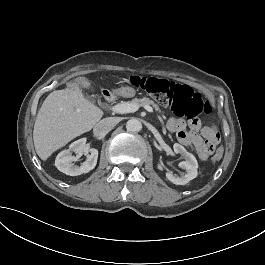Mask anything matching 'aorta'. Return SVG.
<instances>
[{
    "mask_svg": "<svg viewBox=\"0 0 265 265\" xmlns=\"http://www.w3.org/2000/svg\"><path fill=\"white\" fill-rule=\"evenodd\" d=\"M126 129L130 132H138L142 129V124L137 118H132L127 121Z\"/></svg>",
    "mask_w": 265,
    "mask_h": 265,
    "instance_id": "762f6f07",
    "label": "aorta"
}]
</instances>
